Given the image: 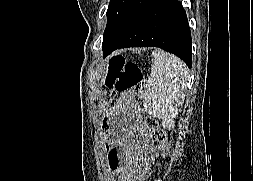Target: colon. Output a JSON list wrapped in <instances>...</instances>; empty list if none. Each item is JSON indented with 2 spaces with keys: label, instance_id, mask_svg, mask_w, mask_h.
<instances>
[{
  "label": "colon",
  "instance_id": "obj_1",
  "mask_svg": "<svg viewBox=\"0 0 253 181\" xmlns=\"http://www.w3.org/2000/svg\"><path fill=\"white\" fill-rule=\"evenodd\" d=\"M105 83L108 87H115L121 93H130L136 102L143 100V73L135 62H126L122 57H113L109 64ZM138 124H146L151 130V137L159 144L162 152L167 151V136L165 131L159 128L156 120L152 118H137Z\"/></svg>",
  "mask_w": 253,
  "mask_h": 181
}]
</instances>
